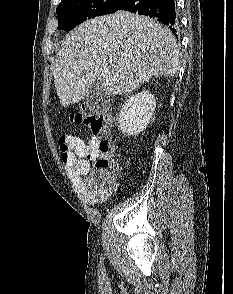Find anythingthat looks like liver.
I'll list each match as a JSON object with an SVG mask.
<instances>
[{
  "instance_id": "liver-1",
  "label": "liver",
  "mask_w": 233,
  "mask_h": 294,
  "mask_svg": "<svg viewBox=\"0 0 233 294\" xmlns=\"http://www.w3.org/2000/svg\"><path fill=\"white\" fill-rule=\"evenodd\" d=\"M56 56L53 77L63 106L83 100L96 83L107 94H129L153 76H175L180 67L168 28L125 11L82 23L66 35Z\"/></svg>"
}]
</instances>
